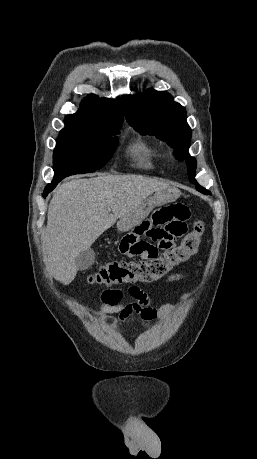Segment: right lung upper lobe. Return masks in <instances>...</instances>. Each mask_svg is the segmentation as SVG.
<instances>
[{"instance_id":"1","label":"right lung upper lobe","mask_w":257,"mask_h":459,"mask_svg":"<svg viewBox=\"0 0 257 459\" xmlns=\"http://www.w3.org/2000/svg\"><path fill=\"white\" fill-rule=\"evenodd\" d=\"M65 122L99 130L120 129L123 122L120 99L114 102L109 98L87 96L77 113L67 115Z\"/></svg>"}]
</instances>
